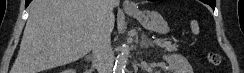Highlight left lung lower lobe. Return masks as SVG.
<instances>
[{
  "label": "left lung lower lobe",
  "instance_id": "0a47b994",
  "mask_svg": "<svg viewBox=\"0 0 244 73\" xmlns=\"http://www.w3.org/2000/svg\"><path fill=\"white\" fill-rule=\"evenodd\" d=\"M202 2L210 5L213 9L215 8V0H202Z\"/></svg>",
  "mask_w": 244,
  "mask_h": 73
}]
</instances>
